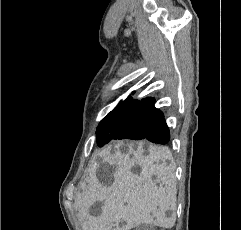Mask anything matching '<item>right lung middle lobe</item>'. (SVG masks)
Instances as JSON below:
<instances>
[{"label": "right lung middle lobe", "mask_w": 241, "mask_h": 230, "mask_svg": "<svg viewBox=\"0 0 241 230\" xmlns=\"http://www.w3.org/2000/svg\"><path fill=\"white\" fill-rule=\"evenodd\" d=\"M148 107L144 105L135 114H122L118 111L108 113L98 126L96 132L97 145L104 146L111 140L133 139L140 140L138 134L132 130V127L138 124L141 120V114Z\"/></svg>", "instance_id": "obj_1"}]
</instances>
